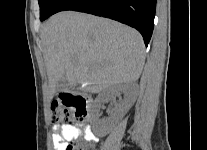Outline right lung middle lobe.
Segmentation results:
<instances>
[{
	"label": "right lung middle lobe",
	"instance_id": "1",
	"mask_svg": "<svg viewBox=\"0 0 207 150\" xmlns=\"http://www.w3.org/2000/svg\"><path fill=\"white\" fill-rule=\"evenodd\" d=\"M64 0H38L40 6V20L43 21L55 13L57 7Z\"/></svg>",
	"mask_w": 207,
	"mask_h": 150
}]
</instances>
